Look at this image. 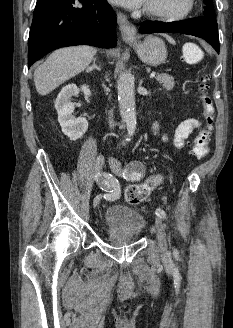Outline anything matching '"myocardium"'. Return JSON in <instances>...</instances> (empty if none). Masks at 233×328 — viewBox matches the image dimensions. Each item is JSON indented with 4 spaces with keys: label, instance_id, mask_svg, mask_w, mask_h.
I'll list each match as a JSON object with an SVG mask.
<instances>
[{
    "label": "myocardium",
    "instance_id": "f54148a6",
    "mask_svg": "<svg viewBox=\"0 0 233 328\" xmlns=\"http://www.w3.org/2000/svg\"><path fill=\"white\" fill-rule=\"evenodd\" d=\"M195 8V0H185L184 8L177 13H169L160 10L151 9L147 6L144 7V13L152 18L162 21H181L188 18Z\"/></svg>",
    "mask_w": 233,
    "mask_h": 328
}]
</instances>
